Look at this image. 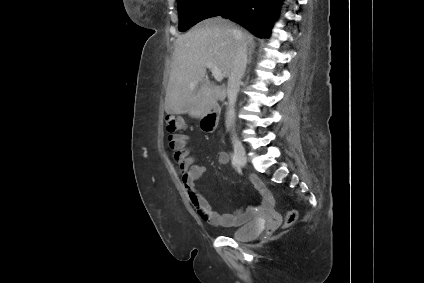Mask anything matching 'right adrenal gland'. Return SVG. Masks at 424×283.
Instances as JSON below:
<instances>
[{"label":"right adrenal gland","instance_id":"right-adrenal-gland-1","mask_svg":"<svg viewBox=\"0 0 424 283\" xmlns=\"http://www.w3.org/2000/svg\"><path fill=\"white\" fill-rule=\"evenodd\" d=\"M252 54H253V50H250L249 51V56H248V65H250V63H251V60H252Z\"/></svg>","mask_w":424,"mask_h":283}]
</instances>
